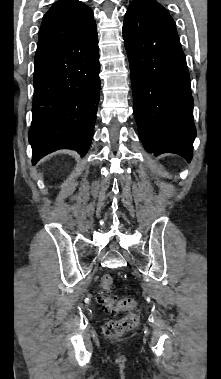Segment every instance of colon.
I'll return each instance as SVG.
<instances>
[{
    "label": "colon",
    "instance_id": "1",
    "mask_svg": "<svg viewBox=\"0 0 221 379\" xmlns=\"http://www.w3.org/2000/svg\"><path fill=\"white\" fill-rule=\"evenodd\" d=\"M113 285V278L110 275H104L101 279V302L105 309L110 313H117L120 311H129L124 317L108 321L103 328L104 334L107 337L114 338L123 335L124 333L132 330L138 322V315L133 311L135 307L134 299H123L117 301L111 296L110 290Z\"/></svg>",
    "mask_w": 221,
    "mask_h": 379
}]
</instances>
